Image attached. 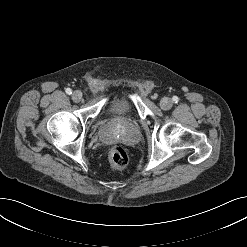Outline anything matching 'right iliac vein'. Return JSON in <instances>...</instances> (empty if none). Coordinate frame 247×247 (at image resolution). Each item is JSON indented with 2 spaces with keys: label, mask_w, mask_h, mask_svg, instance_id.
<instances>
[{
  "label": "right iliac vein",
  "mask_w": 247,
  "mask_h": 247,
  "mask_svg": "<svg viewBox=\"0 0 247 247\" xmlns=\"http://www.w3.org/2000/svg\"><path fill=\"white\" fill-rule=\"evenodd\" d=\"M82 99V93L80 91H74L72 93V100L74 102H80Z\"/></svg>",
  "instance_id": "1"
}]
</instances>
